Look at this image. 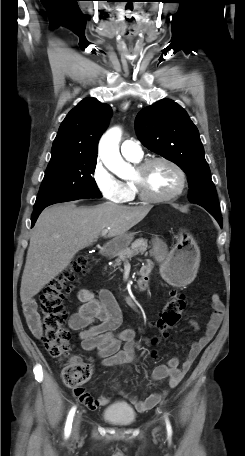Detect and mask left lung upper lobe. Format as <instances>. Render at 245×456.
Returning <instances> with one entry per match:
<instances>
[{
	"instance_id": "obj_1",
	"label": "left lung upper lobe",
	"mask_w": 245,
	"mask_h": 456,
	"mask_svg": "<svg viewBox=\"0 0 245 456\" xmlns=\"http://www.w3.org/2000/svg\"><path fill=\"white\" fill-rule=\"evenodd\" d=\"M135 128L145 147L174 162L186 173L190 201L211 215L221 216L199 132L187 112L174 101L163 99L138 113Z\"/></svg>"
}]
</instances>
